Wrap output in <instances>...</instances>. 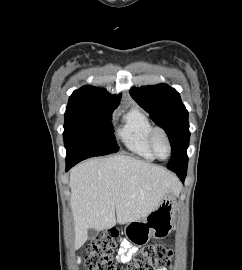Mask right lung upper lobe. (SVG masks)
Here are the masks:
<instances>
[{
    "instance_id": "obj_1",
    "label": "right lung upper lobe",
    "mask_w": 242,
    "mask_h": 270,
    "mask_svg": "<svg viewBox=\"0 0 242 270\" xmlns=\"http://www.w3.org/2000/svg\"><path fill=\"white\" fill-rule=\"evenodd\" d=\"M121 95L114 96L97 87L86 85L75 90L69 98L67 112H91L115 108Z\"/></svg>"
}]
</instances>
